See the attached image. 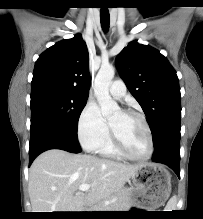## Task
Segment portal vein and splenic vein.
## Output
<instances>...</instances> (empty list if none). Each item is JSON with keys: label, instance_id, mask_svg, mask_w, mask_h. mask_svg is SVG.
Returning <instances> with one entry per match:
<instances>
[{"label": "portal vein and splenic vein", "instance_id": "obj_1", "mask_svg": "<svg viewBox=\"0 0 203 219\" xmlns=\"http://www.w3.org/2000/svg\"><path fill=\"white\" fill-rule=\"evenodd\" d=\"M90 188H91V185H89V184H81L79 186L80 191H88Z\"/></svg>", "mask_w": 203, "mask_h": 219}]
</instances>
